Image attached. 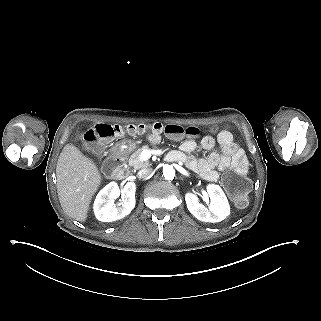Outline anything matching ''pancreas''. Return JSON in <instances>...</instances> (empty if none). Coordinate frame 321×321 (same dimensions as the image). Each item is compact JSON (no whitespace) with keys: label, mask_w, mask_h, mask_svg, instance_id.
Here are the masks:
<instances>
[{"label":"pancreas","mask_w":321,"mask_h":321,"mask_svg":"<svg viewBox=\"0 0 321 321\" xmlns=\"http://www.w3.org/2000/svg\"><path fill=\"white\" fill-rule=\"evenodd\" d=\"M149 149L150 148L147 145H145L137 149L136 151H134L128 159V165L132 167L134 170H138V169L146 168L150 166L149 161H143L140 157L142 151L149 150Z\"/></svg>","instance_id":"pancreas-1"}]
</instances>
